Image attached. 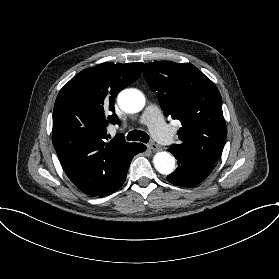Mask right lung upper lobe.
I'll return each instance as SVG.
<instances>
[{"label":"right lung upper lobe","mask_w":279,"mask_h":279,"mask_svg":"<svg viewBox=\"0 0 279 279\" xmlns=\"http://www.w3.org/2000/svg\"><path fill=\"white\" fill-rule=\"evenodd\" d=\"M143 63H103L87 68L60 90L53 110L52 139L69 179L85 194L101 196L128 168L142 143L116 136L106 143L108 122L119 124L114 99L136 81Z\"/></svg>","instance_id":"cb5924a9"}]
</instances>
